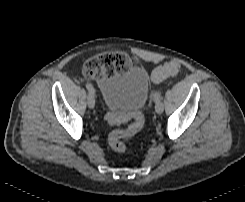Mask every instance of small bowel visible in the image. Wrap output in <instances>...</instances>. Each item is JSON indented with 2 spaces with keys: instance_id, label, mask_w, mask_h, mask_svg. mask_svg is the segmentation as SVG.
I'll list each match as a JSON object with an SVG mask.
<instances>
[{
  "instance_id": "obj_1",
  "label": "small bowel",
  "mask_w": 245,
  "mask_h": 202,
  "mask_svg": "<svg viewBox=\"0 0 245 202\" xmlns=\"http://www.w3.org/2000/svg\"><path fill=\"white\" fill-rule=\"evenodd\" d=\"M151 80L153 83H159L160 81L154 76V72L151 75Z\"/></svg>"
}]
</instances>
